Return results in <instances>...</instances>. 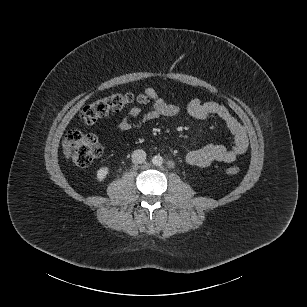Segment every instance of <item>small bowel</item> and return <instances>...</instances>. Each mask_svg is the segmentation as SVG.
<instances>
[{"instance_id":"1","label":"small bowel","mask_w":307,"mask_h":307,"mask_svg":"<svg viewBox=\"0 0 307 307\" xmlns=\"http://www.w3.org/2000/svg\"><path fill=\"white\" fill-rule=\"evenodd\" d=\"M145 94L153 101L152 107L146 113H142L141 107L133 106L125 117H119L116 123L117 130L129 132L160 117H172L180 113L179 105L165 102L155 89L148 87L145 89ZM187 112L197 120L218 117L233 136L230 147L209 144L189 151L186 161L190 165L206 167L215 162L231 163L247 151L249 141L245 128L225 106L214 101L203 102L195 98L188 103Z\"/></svg>"}]
</instances>
